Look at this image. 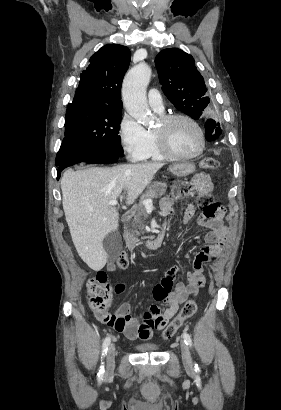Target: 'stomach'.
Here are the masks:
<instances>
[{
	"label": "stomach",
	"mask_w": 281,
	"mask_h": 410,
	"mask_svg": "<svg viewBox=\"0 0 281 410\" xmlns=\"http://www.w3.org/2000/svg\"><path fill=\"white\" fill-rule=\"evenodd\" d=\"M169 170L176 177H185L195 170V165L189 162L174 164L170 166Z\"/></svg>",
	"instance_id": "obj_1"
}]
</instances>
